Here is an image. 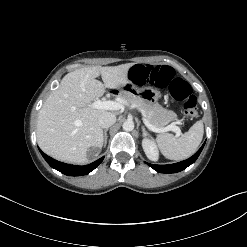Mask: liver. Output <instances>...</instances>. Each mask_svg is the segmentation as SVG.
I'll use <instances>...</instances> for the list:
<instances>
[{"label": "liver", "mask_w": 247, "mask_h": 247, "mask_svg": "<svg viewBox=\"0 0 247 247\" xmlns=\"http://www.w3.org/2000/svg\"><path fill=\"white\" fill-rule=\"evenodd\" d=\"M133 65L85 67L65 75L39 111L40 148L57 160L78 164L88 161L90 148L98 154L104 141L98 119L107 110L93 108L92 102L106 90L119 89L128 83V71ZM100 75L103 83L96 80Z\"/></svg>", "instance_id": "obj_1"}]
</instances>
